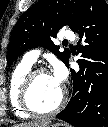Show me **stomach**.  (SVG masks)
Here are the masks:
<instances>
[{
    "label": "stomach",
    "mask_w": 108,
    "mask_h": 127,
    "mask_svg": "<svg viewBox=\"0 0 108 127\" xmlns=\"http://www.w3.org/2000/svg\"><path fill=\"white\" fill-rule=\"evenodd\" d=\"M46 127H71L65 122L49 123Z\"/></svg>",
    "instance_id": "0dacf381"
}]
</instances>
